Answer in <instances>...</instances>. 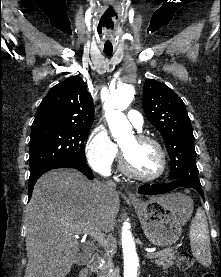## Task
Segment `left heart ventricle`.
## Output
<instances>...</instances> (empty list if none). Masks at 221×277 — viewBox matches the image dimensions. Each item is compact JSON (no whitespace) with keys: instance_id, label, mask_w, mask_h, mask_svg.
I'll return each mask as SVG.
<instances>
[{"instance_id":"b2bd125f","label":"left heart ventricle","mask_w":221,"mask_h":277,"mask_svg":"<svg viewBox=\"0 0 221 277\" xmlns=\"http://www.w3.org/2000/svg\"><path fill=\"white\" fill-rule=\"evenodd\" d=\"M131 168L143 176L156 174L161 165L157 148L149 143L138 144L133 137L121 143Z\"/></svg>"}]
</instances>
